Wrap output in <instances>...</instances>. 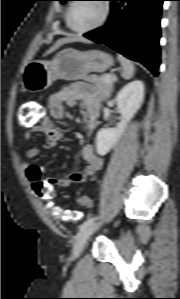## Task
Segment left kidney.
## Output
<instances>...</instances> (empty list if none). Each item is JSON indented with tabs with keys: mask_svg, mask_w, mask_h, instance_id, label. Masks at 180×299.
Masks as SVG:
<instances>
[{
	"mask_svg": "<svg viewBox=\"0 0 180 299\" xmlns=\"http://www.w3.org/2000/svg\"><path fill=\"white\" fill-rule=\"evenodd\" d=\"M143 99L142 81H133L120 90L116 103L121 119L115 128H102L98 131L95 143L99 155H106L117 144L127 124L141 107Z\"/></svg>",
	"mask_w": 180,
	"mask_h": 299,
	"instance_id": "obj_1",
	"label": "left kidney"
}]
</instances>
